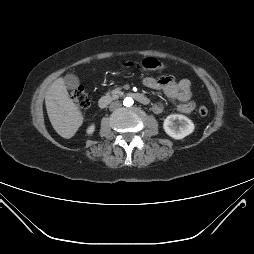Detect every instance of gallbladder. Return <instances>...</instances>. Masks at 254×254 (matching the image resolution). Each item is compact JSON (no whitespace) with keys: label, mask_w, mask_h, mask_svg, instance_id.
<instances>
[{"label":"gallbladder","mask_w":254,"mask_h":254,"mask_svg":"<svg viewBox=\"0 0 254 254\" xmlns=\"http://www.w3.org/2000/svg\"><path fill=\"white\" fill-rule=\"evenodd\" d=\"M64 83H65L66 88L72 90V89H75L78 87L79 79L77 76H75L73 74H69L64 77Z\"/></svg>","instance_id":"bac80fb5"}]
</instances>
